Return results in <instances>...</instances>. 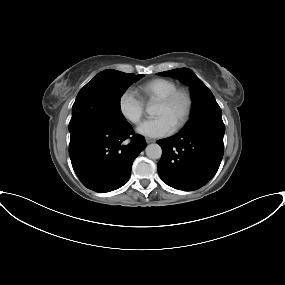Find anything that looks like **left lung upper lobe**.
I'll list each match as a JSON object with an SVG mask.
<instances>
[{"instance_id":"obj_1","label":"left lung upper lobe","mask_w":285,"mask_h":285,"mask_svg":"<svg viewBox=\"0 0 285 285\" xmlns=\"http://www.w3.org/2000/svg\"><path fill=\"white\" fill-rule=\"evenodd\" d=\"M158 75L175 77L188 84L192 93V118L181 131L204 121H222V112L209 88L188 68L160 72Z\"/></svg>"}]
</instances>
